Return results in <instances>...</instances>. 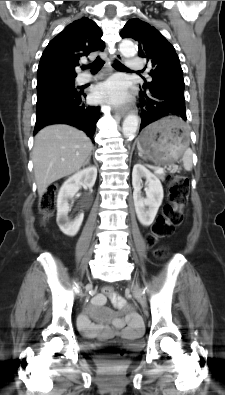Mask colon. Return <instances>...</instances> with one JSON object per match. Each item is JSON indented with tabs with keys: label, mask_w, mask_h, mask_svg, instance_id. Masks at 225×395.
Here are the masks:
<instances>
[{
	"label": "colon",
	"mask_w": 225,
	"mask_h": 395,
	"mask_svg": "<svg viewBox=\"0 0 225 395\" xmlns=\"http://www.w3.org/2000/svg\"><path fill=\"white\" fill-rule=\"evenodd\" d=\"M169 188V202L164 207L162 214L155 220L152 225L151 233L147 238V243L153 246L157 241L170 237L174 232L176 226L182 221V206L184 205L187 196L189 182L188 179L181 175H173L168 178ZM57 194V186H50L42 195L39 203V208L44 216H49L55 207V197ZM168 254L166 247H160L156 250L158 258H164ZM102 294H112L113 289L111 285H104L101 289ZM117 352H112V355H117Z\"/></svg>",
	"instance_id": "colon-1"
}]
</instances>
